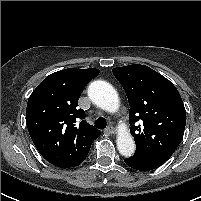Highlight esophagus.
Segmentation results:
<instances>
[{"label":"esophagus","instance_id":"esophagus-1","mask_svg":"<svg viewBox=\"0 0 201 201\" xmlns=\"http://www.w3.org/2000/svg\"><path fill=\"white\" fill-rule=\"evenodd\" d=\"M105 131L109 135H112V134L115 133V130H114V128L112 126L107 127Z\"/></svg>","mask_w":201,"mask_h":201}]
</instances>
